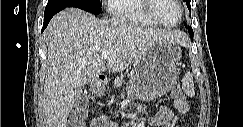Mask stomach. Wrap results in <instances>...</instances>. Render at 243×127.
Returning <instances> with one entry per match:
<instances>
[{
    "mask_svg": "<svg viewBox=\"0 0 243 127\" xmlns=\"http://www.w3.org/2000/svg\"><path fill=\"white\" fill-rule=\"evenodd\" d=\"M180 59L177 44L166 40L156 42L134 63L129 95L143 100L164 95L177 80Z\"/></svg>",
    "mask_w": 243,
    "mask_h": 127,
    "instance_id": "stomach-1",
    "label": "stomach"
}]
</instances>
